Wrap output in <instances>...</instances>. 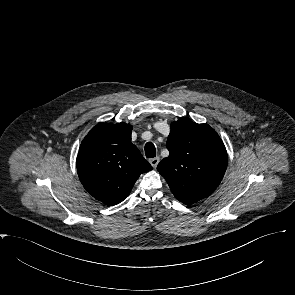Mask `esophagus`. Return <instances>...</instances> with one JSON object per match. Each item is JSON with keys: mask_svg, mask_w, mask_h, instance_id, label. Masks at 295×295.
I'll return each instance as SVG.
<instances>
[{"mask_svg": "<svg viewBox=\"0 0 295 295\" xmlns=\"http://www.w3.org/2000/svg\"><path fill=\"white\" fill-rule=\"evenodd\" d=\"M160 161V158L157 156V157H154V158H151L149 160L150 164L152 165L153 168H156L158 163Z\"/></svg>", "mask_w": 295, "mask_h": 295, "instance_id": "obj_1", "label": "esophagus"}]
</instances>
